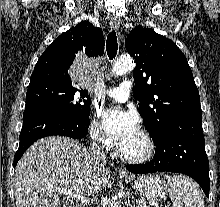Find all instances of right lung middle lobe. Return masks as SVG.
I'll use <instances>...</instances> for the list:
<instances>
[{
    "mask_svg": "<svg viewBox=\"0 0 220 207\" xmlns=\"http://www.w3.org/2000/svg\"><path fill=\"white\" fill-rule=\"evenodd\" d=\"M90 96L72 85L41 82L29 85L26 108L44 107L80 119H89Z\"/></svg>",
    "mask_w": 220,
    "mask_h": 207,
    "instance_id": "right-lung-middle-lobe-1",
    "label": "right lung middle lobe"
}]
</instances>
